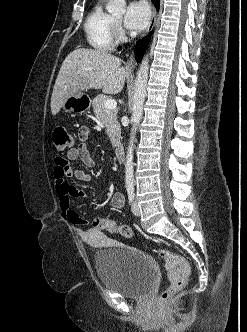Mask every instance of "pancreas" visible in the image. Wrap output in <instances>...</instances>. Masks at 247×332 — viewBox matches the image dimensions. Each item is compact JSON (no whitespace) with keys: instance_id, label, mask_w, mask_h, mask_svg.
Listing matches in <instances>:
<instances>
[{"instance_id":"pancreas-1","label":"pancreas","mask_w":247,"mask_h":332,"mask_svg":"<svg viewBox=\"0 0 247 332\" xmlns=\"http://www.w3.org/2000/svg\"><path fill=\"white\" fill-rule=\"evenodd\" d=\"M108 99L109 97L105 95H98L93 100L92 105L96 118L105 126L112 146L116 147L120 144L121 129L117 119V111L105 107V102Z\"/></svg>"}]
</instances>
